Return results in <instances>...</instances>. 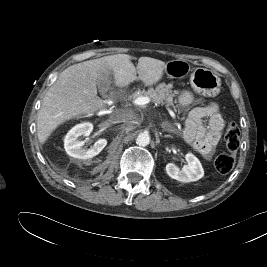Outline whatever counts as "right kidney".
Wrapping results in <instances>:
<instances>
[{"label":"right kidney","mask_w":267,"mask_h":267,"mask_svg":"<svg viewBox=\"0 0 267 267\" xmlns=\"http://www.w3.org/2000/svg\"><path fill=\"white\" fill-rule=\"evenodd\" d=\"M93 130V125L89 122L74 126L64 138V148L68 155L79 159H90L98 155L107 145L104 138L98 139L92 148H83L84 142L80 136H89Z\"/></svg>","instance_id":"obj_1"}]
</instances>
